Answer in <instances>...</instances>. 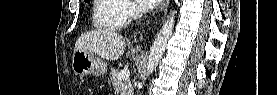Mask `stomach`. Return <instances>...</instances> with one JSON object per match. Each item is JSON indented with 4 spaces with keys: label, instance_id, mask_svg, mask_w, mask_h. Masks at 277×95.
Here are the masks:
<instances>
[{
    "label": "stomach",
    "instance_id": "0dacf381",
    "mask_svg": "<svg viewBox=\"0 0 277 95\" xmlns=\"http://www.w3.org/2000/svg\"><path fill=\"white\" fill-rule=\"evenodd\" d=\"M72 70L78 76H104L107 71L106 64L97 59L92 52L79 50L72 57Z\"/></svg>",
    "mask_w": 277,
    "mask_h": 95
}]
</instances>
